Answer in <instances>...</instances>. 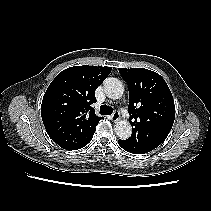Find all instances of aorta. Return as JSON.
Returning <instances> with one entry per match:
<instances>
[{
  "mask_svg": "<svg viewBox=\"0 0 211 211\" xmlns=\"http://www.w3.org/2000/svg\"><path fill=\"white\" fill-rule=\"evenodd\" d=\"M103 87L105 94L111 99H118L122 97L124 93V86L117 78L109 77L105 79ZM114 131L118 138L121 140H126L132 134V126L127 120H119L115 124Z\"/></svg>",
  "mask_w": 211,
  "mask_h": 211,
  "instance_id": "1",
  "label": "aorta"
}]
</instances>
